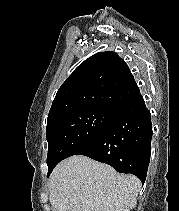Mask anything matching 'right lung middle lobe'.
Wrapping results in <instances>:
<instances>
[{
    "label": "right lung middle lobe",
    "mask_w": 179,
    "mask_h": 211,
    "mask_svg": "<svg viewBox=\"0 0 179 211\" xmlns=\"http://www.w3.org/2000/svg\"><path fill=\"white\" fill-rule=\"evenodd\" d=\"M116 110L90 108L73 112L47 124L48 176L63 159L93 142L115 116Z\"/></svg>",
    "instance_id": "dd1d6c3e"
}]
</instances>
